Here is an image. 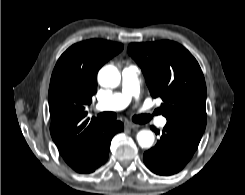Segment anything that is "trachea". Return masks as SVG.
Instances as JSON below:
<instances>
[{"mask_svg": "<svg viewBox=\"0 0 245 195\" xmlns=\"http://www.w3.org/2000/svg\"><path fill=\"white\" fill-rule=\"evenodd\" d=\"M98 117L104 120H114L117 118V115L114 112H103L98 114ZM150 119H151L150 115H138L133 117V121L136 123H146L150 121Z\"/></svg>", "mask_w": 245, "mask_h": 195, "instance_id": "trachea-1", "label": "trachea"}]
</instances>
